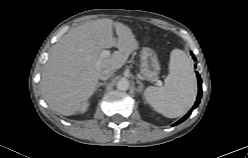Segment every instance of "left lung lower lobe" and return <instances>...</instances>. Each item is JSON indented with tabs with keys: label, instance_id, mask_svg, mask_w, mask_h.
I'll return each mask as SVG.
<instances>
[{
	"label": "left lung lower lobe",
	"instance_id": "left-lung-lower-lobe-1",
	"mask_svg": "<svg viewBox=\"0 0 248 158\" xmlns=\"http://www.w3.org/2000/svg\"><path fill=\"white\" fill-rule=\"evenodd\" d=\"M193 58H194V56H193ZM194 60H196V59L194 58ZM196 74H197V77H198V88H199V89H198V97H197V100H196L194 106L192 107V109H195V108L198 106V104H199V102H200V99H201V93H202L201 78H200V75H199L198 73H196ZM189 114H190V113L186 114L183 118H181V119H180L177 123H175L174 125H177V124L183 122V121L189 116Z\"/></svg>",
	"mask_w": 248,
	"mask_h": 158
}]
</instances>
